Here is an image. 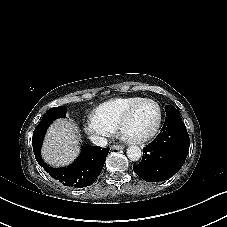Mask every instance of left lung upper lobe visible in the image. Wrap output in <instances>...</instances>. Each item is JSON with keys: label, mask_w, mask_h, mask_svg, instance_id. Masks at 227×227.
<instances>
[{"label": "left lung upper lobe", "mask_w": 227, "mask_h": 227, "mask_svg": "<svg viewBox=\"0 0 227 227\" xmlns=\"http://www.w3.org/2000/svg\"><path fill=\"white\" fill-rule=\"evenodd\" d=\"M166 116L181 117L180 112L173 106H165Z\"/></svg>", "instance_id": "5c2ea615"}]
</instances>
